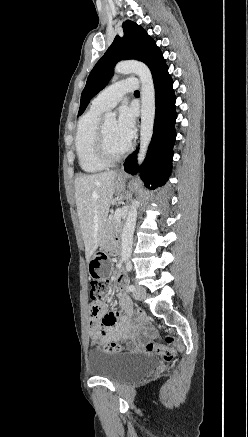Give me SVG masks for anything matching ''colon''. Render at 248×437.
Listing matches in <instances>:
<instances>
[{"label":"colon","mask_w":248,"mask_h":437,"mask_svg":"<svg viewBox=\"0 0 248 437\" xmlns=\"http://www.w3.org/2000/svg\"><path fill=\"white\" fill-rule=\"evenodd\" d=\"M111 283L107 279H93L91 281L90 297L93 301H100L110 291ZM175 338L173 336L166 337V344H160L155 341H151L147 344L148 351L153 352L160 356L166 362H172L176 355ZM108 352H118L121 347L116 343L106 344L101 347Z\"/></svg>","instance_id":"obj_1"}]
</instances>
